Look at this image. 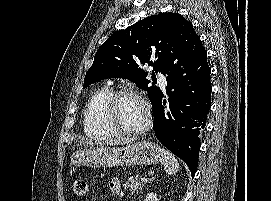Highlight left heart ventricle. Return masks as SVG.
Instances as JSON below:
<instances>
[{
  "instance_id": "left-heart-ventricle-1",
  "label": "left heart ventricle",
  "mask_w": 271,
  "mask_h": 201,
  "mask_svg": "<svg viewBox=\"0 0 271 201\" xmlns=\"http://www.w3.org/2000/svg\"><path fill=\"white\" fill-rule=\"evenodd\" d=\"M115 113L119 124L129 130L140 128L146 119L143 104L131 97L121 99Z\"/></svg>"
}]
</instances>
